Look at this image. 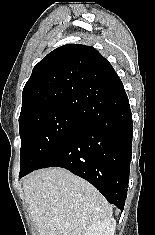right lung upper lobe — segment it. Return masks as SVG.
<instances>
[{"instance_id": "right-lung-upper-lobe-1", "label": "right lung upper lobe", "mask_w": 155, "mask_h": 235, "mask_svg": "<svg viewBox=\"0 0 155 235\" xmlns=\"http://www.w3.org/2000/svg\"><path fill=\"white\" fill-rule=\"evenodd\" d=\"M119 79L115 70L93 47L61 46L35 65L22 93L21 115L43 106H62L78 114L86 109V92Z\"/></svg>"}]
</instances>
